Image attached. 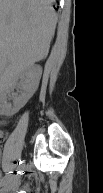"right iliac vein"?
Instances as JSON below:
<instances>
[{
  "label": "right iliac vein",
  "mask_w": 103,
  "mask_h": 193,
  "mask_svg": "<svg viewBox=\"0 0 103 193\" xmlns=\"http://www.w3.org/2000/svg\"><path fill=\"white\" fill-rule=\"evenodd\" d=\"M25 169V164H22L19 166L18 168V172L12 177L10 183H9V187H13L15 184H17V182L20 179V175L23 172V170Z\"/></svg>",
  "instance_id": "right-iliac-vein-1"
}]
</instances>
